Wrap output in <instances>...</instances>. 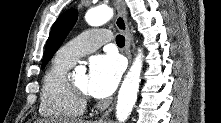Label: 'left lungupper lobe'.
Returning a JSON list of instances; mask_svg holds the SVG:
<instances>
[{
    "label": "left lung upper lobe",
    "instance_id": "5c2ea615",
    "mask_svg": "<svg viewBox=\"0 0 221 123\" xmlns=\"http://www.w3.org/2000/svg\"><path fill=\"white\" fill-rule=\"evenodd\" d=\"M78 11L69 9L58 17L55 21L49 38L46 43L44 59L42 61V69L51 60L55 52L59 49L66 36L76 23Z\"/></svg>",
    "mask_w": 221,
    "mask_h": 123
}]
</instances>
